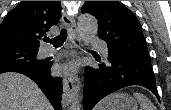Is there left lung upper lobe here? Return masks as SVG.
I'll return each instance as SVG.
<instances>
[{
  "mask_svg": "<svg viewBox=\"0 0 171 110\" xmlns=\"http://www.w3.org/2000/svg\"><path fill=\"white\" fill-rule=\"evenodd\" d=\"M98 19V35L108 44V53L150 63L141 25L119 1H86L81 9Z\"/></svg>",
  "mask_w": 171,
  "mask_h": 110,
  "instance_id": "5c2ea615",
  "label": "left lung upper lobe"
}]
</instances>
